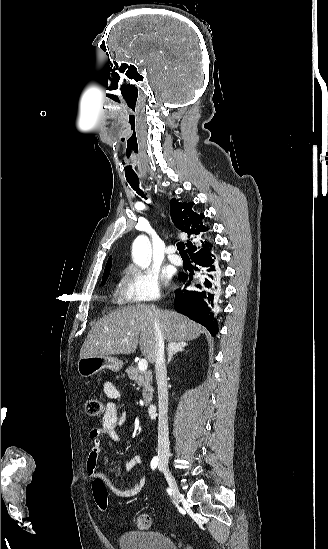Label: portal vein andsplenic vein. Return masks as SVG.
I'll return each instance as SVG.
<instances>
[{
	"label": "portal vein and splenic vein",
	"mask_w": 328,
	"mask_h": 549,
	"mask_svg": "<svg viewBox=\"0 0 328 549\" xmlns=\"http://www.w3.org/2000/svg\"><path fill=\"white\" fill-rule=\"evenodd\" d=\"M127 335H131V333H127ZM138 369H139V371H147L148 363H147L146 359H141V361H139Z\"/></svg>",
	"instance_id": "1"
}]
</instances>
